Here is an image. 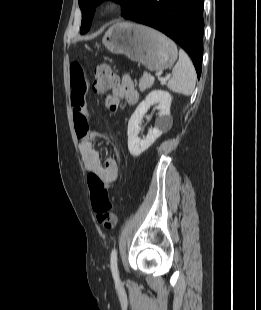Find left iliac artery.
<instances>
[{
    "label": "left iliac artery",
    "instance_id": "44dca946",
    "mask_svg": "<svg viewBox=\"0 0 261 310\" xmlns=\"http://www.w3.org/2000/svg\"><path fill=\"white\" fill-rule=\"evenodd\" d=\"M110 263H111V271H112L113 277H114L115 281H119V274H118V268H117V250L116 249L112 250V252H111Z\"/></svg>",
    "mask_w": 261,
    "mask_h": 310
}]
</instances>
